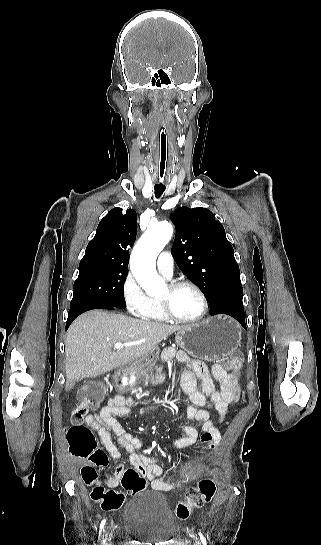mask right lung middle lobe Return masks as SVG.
I'll list each match as a JSON object with an SVG mask.
<instances>
[{
	"instance_id": "1",
	"label": "right lung middle lobe",
	"mask_w": 321,
	"mask_h": 545,
	"mask_svg": "<svg viewBox=\"0 0 321 545\" xmlns=\"http://www.w3.org/2000/svg\"><path fill=\"white\" fill-rule=\"evenodd\" d=\"M128 269L116 270L103 267L79 269L73 287L70 309L79 304H125L123 286Z\"/></svg>"
}]
</instances>
